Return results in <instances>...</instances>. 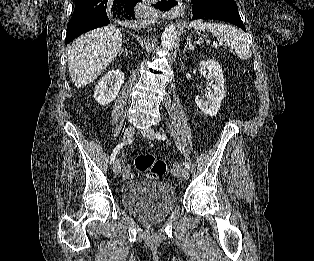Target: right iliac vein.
Here are the masks:
<instances>
[{
	"label": "right iliac vein",
	"instance_id": "63e3f726",
	"mask_svg": "<svg viewBox=\"0 0 314 261\" xmlns=\"http://www.w3.org/2000/svg\"><path fill=\"white\" fill-rule=\"evenodd\" d=\"M135 133V128L134 127H128L125 132H124V136H123V140L127 141L130 140L133 135ZM113 171L115 174H119L121 171V165H120V161L119 159H116L113 165Z\"/></svg>",
	"mask_w": 314,
	"mask_h": 261
}]
</instances>
